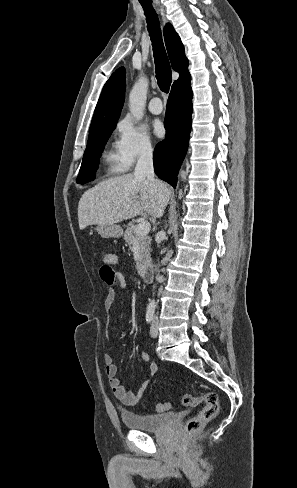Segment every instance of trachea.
<instances>
[{
	"instance_id": "1",
	"label": "trachea",
	"mask_w": 297,
	"mask_h": 488,
	"mask_svg": "<svg viewBox=\"0 0 297 488\" xmlns=\"http://www.w3.org/2000/svg\"><path fill=\"white\" fill-rule=\"evenodd\" d=\"M140 3L147 17V27L153 46L158 86L161 91L168 93L172 81L171 67L163 44L158 17L150 2L140 0Z\"/></svg>"
}]
</instances>
